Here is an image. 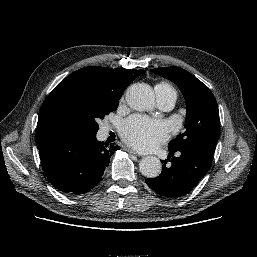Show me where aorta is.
I'll return each mask as SVG.
<instances>
[{"label":"aorta","mask_w":257,"mask_h":257,"mask_svg":"<svg viewBox=\"0 0 257 257\" xmlns=\"http://www.w3.org/2000/svg\"><path fill=\"white\" fill-rule=\"evenodd\" d=\"M128 105L136 111H149L155 105V96L152 88L147 84H133L125 93ZM141 174L147 178L159 176L162 170L160 160L155 156H146L139 163Z\"/></svg>","instance_id":"1"}]
</instances>
